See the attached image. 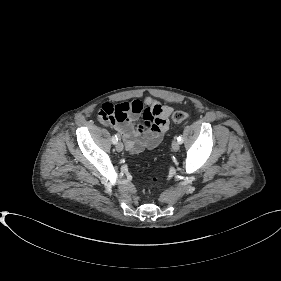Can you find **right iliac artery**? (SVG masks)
Returning a JSON list of instances; mask_svg holds the SVG:
<instances>
[{
	"mask_svg": "<svg viewBox=\"0 0 281 281\" xmlns=\"http://www.w3.org/2000/svg\"><path fill=\"white\" fill-rule=\"evenodd\" d=\"M117 141H118L117 135L112 136V142H113V144H116Z\"/></svg>",
	"mask_w": 281,
	"mask_h": 281,
	"instance_id": "1",
	"label": "right iliac artery"
}]
</instances>
